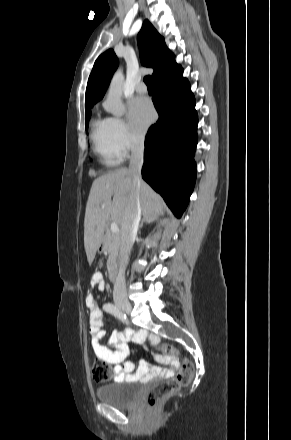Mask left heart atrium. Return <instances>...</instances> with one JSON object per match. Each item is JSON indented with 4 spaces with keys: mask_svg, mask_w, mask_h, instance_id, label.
Segmentation results:
<instances>
[{
    "mask_svg": "<svg viewBox=\"0 0 291 440\" xmlns=\"http://www.w3.org/2000/svg\"><path fill=\"white\" fill-rule=\"evenodd\" d=\"M155 117L154 109L146 98L137 97L129 103V118L137 132H144Z\"/></svg>",
    "mask_w": 291,
    "mask_h": 440,
    "instance_id": "1",
    "label": "left heart atrium"
}]
</instances>
